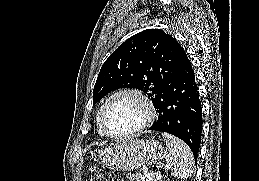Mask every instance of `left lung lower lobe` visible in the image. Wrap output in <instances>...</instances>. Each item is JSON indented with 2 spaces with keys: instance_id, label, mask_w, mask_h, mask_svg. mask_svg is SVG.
Here are the masks:
<instances>
[{
  "instance_id": "obj_1",
  "label": "left lung lower lobe",
  "mask_w": 259,
  "mask_h": 181,
  "mask_svg": "<svg viewBox=\"0 0 259 181\" xmlns=\"http://www.w3.org/2000/svg\"><path fill=\"white\" fill-rule=\"evenodd\" d=\"M177 59L176 74L165 85L157 101L155 108L159 116L149 130L167 132L180 138L197 160L202 132L199 91L191 62L180 44Z\"/></svg>"
}]
</instances>
